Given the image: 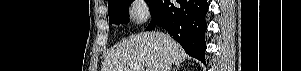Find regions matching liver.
Listing matches in <instances>:
<instances>
[{"label":"liver","mask_w":301,"mask_h":71,"mask_svg":"<svg viewBox=\"0 0 301 71\" xmlns=\"http://www.w3.org/2000/svg\"><path fill=\"white\" fill-rule=\"evenodd\" d=\"M187 58L183 48L169 35L161 32H143L129 37L105 56L101 71H140L135 65L146 66L147 71H163L165 62L180 65Z\"/></svg>","instance_id":"6515ba94"}]
</instances>
